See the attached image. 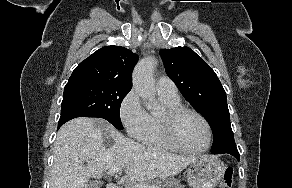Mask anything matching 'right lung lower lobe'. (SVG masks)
Masks as SVG:
<instances>
[{
	"label": "right lung lower lobe",
	"instance_id": "right-lung-lower-lobe-1",
	"mask_svg": "<svg viewBox=\"0 0 292 188\" xmlns=\"http://www.w3.org/2000/svg\"><path fill=\"white\" fill-rule=\"evenodd\" d=\"M73 118H75V116H66V117H64V118H60L59 119V122H58V129L65 123V122H67V121H69V120H71V119H73Z\"/></svg>",
	"mask_w": 292,
	"mask_h": 188
}]
</instances>
